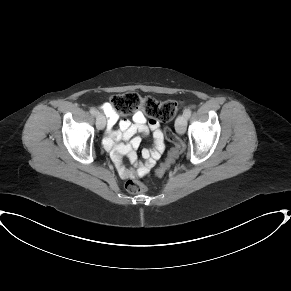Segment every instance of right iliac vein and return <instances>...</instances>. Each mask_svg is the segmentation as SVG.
<instances>
[{"instance_id":"1","label":"right iliac vein","mask_w":291,"mask_h":291,"mask_svg":"<svg viewBox=\"0 0 291 291\" xmlns=\"http://www.w3.org/2000/svg\"><path fill=\"white\" fill-rule=\"evenodd\" d=\"M105 125H106L105 116L103 114L98 113L96 117V126L102 130L104 129Z\"/></svg>"}]
</instances>
